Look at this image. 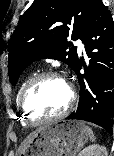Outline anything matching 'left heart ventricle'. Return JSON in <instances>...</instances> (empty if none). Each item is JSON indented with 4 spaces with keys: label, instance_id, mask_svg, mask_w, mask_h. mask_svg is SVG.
Segmentation results:
<instances>
[{
    "label": "left heart ventricle",
    "instance_id": "left-heart-ventricle-1",
    "mask_svg": "<svg viewBox=\"0 0 114 156\" xmlns=\"http://www.w3.org/2000/svg\"><path fill=\"white\" fill-rule=\"evenodd\" d=\"M69 90L59 78H46L27 93L24 105L33 118H44L61 112L68 103Z\"/></svg>",
    "mask_w": 114,
    "mask_h": 156
}]
</instances>
